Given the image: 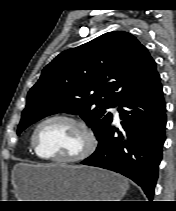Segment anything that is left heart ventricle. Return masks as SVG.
<instances>
[{"mask_svg": "<svg viewBox=\"0 0 176 211\" xmlns=\"http://www.w3.org/2000/svg\"><path fill=\"white\" fill-rule=\"evenodd\" d=\"M37 146L43 156L71 157L85 146V135L76 125L62 120L51 121L37 134Z\"/></svg>", "mask_w": 176, "mask_h": 211, "instance_id": "left-heart-ventricle-1", "label": "left heart ventricle"}]
</instances>
